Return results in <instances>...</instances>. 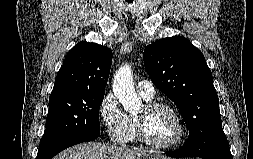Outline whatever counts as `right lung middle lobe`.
I'll return each mask as SVG.
<instances>
[{"instance_id": "right-lung-middle-lobe-1", "label": "right lung middle lobe", "mask_w": 253, "mask_h": 159, "mask_svg": "<svg viewBox=\"0 0 253 159\" xmlns=\"http://www.w3.org/2000/svg\"><path fill=\"white\" fill-rule=\"evenodd\" d=\"M105 92H81L49 98L46 129L40 141L42 154L60 140L82 132H100L99 109Z\"/></svg>"}]
</instances>
